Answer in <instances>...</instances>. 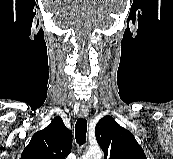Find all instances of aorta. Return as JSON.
<instances>
[{
    "label": "aorta",
    "instance_id": "1",
    "mask_svg": "<svg viewBox=\"0 0 173 159\" xmlns=\"http://www.w3.org/2000/svg\"><path fill=\"white\" fill-rule=\"evenodd\" d=\"M82 159H102V151L100 149H89Z\"/></svg>",
    "mask_w": 173,
    "mask_h": 159
}]
</instances>
